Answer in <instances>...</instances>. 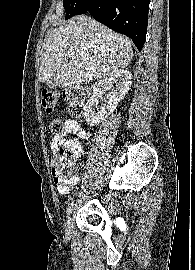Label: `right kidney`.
<instances>
[{
  "label": "right kidney",
  "mask_w": 195,
  "mask_h": 270,
  "mask_svg": "<svg viewBox=\"0 0 195 270\" xmlns=\"http://www.w3.org/2000/svg\"><path fill=\"white\" fill-rule=\"evenodd\" d=\"M132 74L128 70H121L108 78L101 79L93 85V95L84 107V118L88 125L96 126L105 120L123 100L132 83ZM115 86V88H114ZM111 89L109 100L104 107L99 108V98Z\"/></svg>",
  "instance_id": "right-kidney-1"
}]
</instances>
